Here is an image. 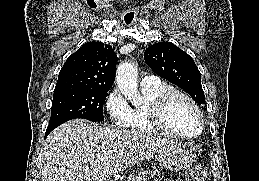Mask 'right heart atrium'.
Returning a JSON list of instances; mask_svg holds the SVG:
<instances>
[{
	"mask_svg": "<svg viewBox=\"0 0 259 181\" xmlns=\"http://www.w3.org/2000/svg\"><path fill=\"white\" fill-rule=\"evenodd\" d=\"M104 107L113 126H127L130 116V107L118 89H113L107 95Z\"/></svg>",
	"mask_w": 259,
	"mask_h": 181,
	"instance_id": "1",
	"label": "right heart atrium"
}]
</instances>
